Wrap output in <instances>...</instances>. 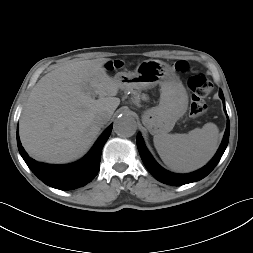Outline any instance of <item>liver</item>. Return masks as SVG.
<instances>
[{
  "label": "liver",
  "mask_w": 253,
  "mask_h": 253,
  "mask_svg": "<svg viewBox=\"0 0 253 253\" xmlns=\"http://www.w3.org/2000/svg\"><path fill=\"white\" fill-rule=\"evenodd\" d=\"M108 58L72 61L43 76L23 109L19 134L27 153L38 161L67 163L81 157L120 104L119 85L107 73ZM99 99L91 97V93Z\"/></svg>",
  "instance_id": "6515ba94"
}]
</instances>
